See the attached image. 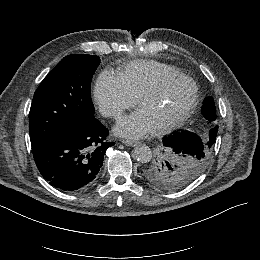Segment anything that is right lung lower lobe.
<instances>
[{
    "label": "right lung lower lobe",
    "mask_w": 260,
    "mask_h": 260,
    "mask_svg": "<svg viewBox=\"0 0 260 260\" xmlns=\"http://www.w3.org/2000/svg\"><path fill=\"white\" fill-rule=\"evenodd\" d=\"M108 134L93 116L75 130L32 148L35 163L53 187L65 192L83 190L96 180L106 150L115 144L106 140Z\"/></svg>",
    "instance_id": "right-lung-lower-lobe-1"
}]
</instances>
